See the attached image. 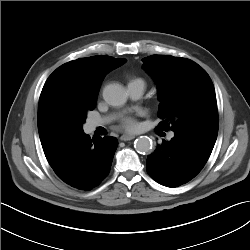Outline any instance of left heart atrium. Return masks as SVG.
<instances>
[{
	"instance_id": "1",
	"label": "left heart atrium",
	"mask_w": 250,
	"mask_h": 250,
	"mask_svg": "<svg viewBox=\"0 0 250 250\" xmlns=\"http://www.w3.org/2000/svg\"><path fill=\"white\" fill-rule=\"evenodd\" d=\"M122 124L125 129L129 131H133L137 128V123L134 118L132 117H125L122 121Z\"/></svg>"
}]
</instances>
